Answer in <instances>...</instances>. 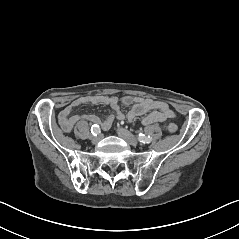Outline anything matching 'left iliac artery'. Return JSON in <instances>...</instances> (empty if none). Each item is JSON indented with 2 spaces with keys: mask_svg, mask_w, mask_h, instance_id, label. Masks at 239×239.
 Masks as SVG:
<instances>
[{
  "mask_svg": "<svg viewBox=\"0 0 239 239\" xmlns=\"http://www.w3.org/2000/svg\"><path fill=\"white\" fill-rule=\"evenodd\" d=\"M138 140L142 143H150L152 141V137L139 133Z\"/></svg>",
  "mask_w": 239,
  "mask_h": 239,
  "instance_id": "obj_1",
  "label": "left iliac artery"
}]
</instances>
